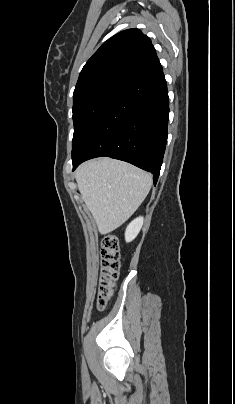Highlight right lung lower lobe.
<instances>
[{"instance_id":"1","label":"right lung lower lobe","mask_w":235,"mask_h":404,"mask_svg":"<svg viewBox=\"0 0 235 404\" xmlns=\"http://www.w3.org/2000/svg\"><path fill=\"white\" fill-rule=\"evenodd\" d=\"M169 100L162 67L128 83L72 153L73 171L82 162L107 156L151 172L154 185L167 142Z\"/></svg>"}]
</instances>
